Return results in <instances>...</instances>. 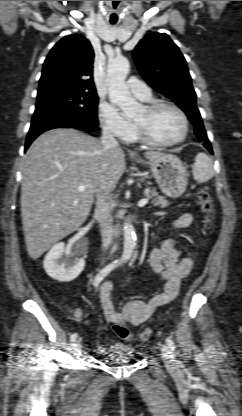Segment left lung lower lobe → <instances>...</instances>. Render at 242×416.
I'll list each match as a JSON object with an SVG mask.
<instances>
[{"instance_id": "left-lung-lower-lobe-1", "label": "left lung lower lobe", "mask_w": 242, "mask_h": 416, "mask_svg": "<svg viewBox=\"0 0 242 416\" xmlns=\"http://www.w3.org/2000/svg\"><path fill=\"white\" fill-rule=\"evenodd\" d=\"M204 146L208 149V151L211 154H213L212 147H211V144H210L209 140L204 142Z\"/></svg>"}]
</instances>
